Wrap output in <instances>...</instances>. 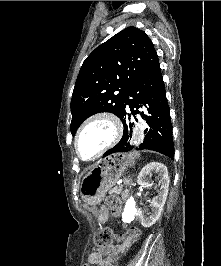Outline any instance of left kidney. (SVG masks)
<instances>
[{"label":"left kidney","mask_w":221,"mask_h":266,"mask_svg":"<svg viewBox=\"0 0 221 266\" xmlns=\"http://www.w3.org/2000/svg\"><path fill=\"white\" fill-rule=\"evenodd\" d=\"M153 173H157L160 177L158 184L159 189L157 190V195L150 201L151 212L148 216L143 214L139 215L140 222L144 227H151L156 223L161 215L168 195L170 178L167 167L162 163L154 161L143 167L138 176V184L142 187H148L150 185L148 179Z\"/></svg>","instance_id":"5707ae66"}]
</instances>
